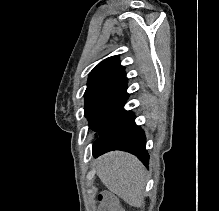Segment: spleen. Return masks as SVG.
Wrapping results in <instances>:
<instances>
[{"mask_svg":"<svg viewBox=\"0 0 219 211\" xmlns=\"http://www.w3.org/2000/svg\"><path fill=\"white\" fill-rule=\"evenodd\" d=\"M93 165L110 191L117 193L129 205H143L146 169L135 155L126 151H110L95 159Z\"/></svg>","mask_w":219,"mask_h":211,"instance_id":"spleen-1","label":"spleen"}]
</instances>
